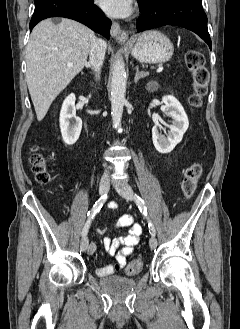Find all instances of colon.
Returning <instances> with one entry per match:
<instances>
[{"label":"colon","instance_id":"obj_1","mask_svg":"<svg viewBox=\"0 0 240 329\" xmlns=\"http://www.w3.org/2000/svg\"><path fill=\"white\" fill-rule=\"evenodd\" d=\"M186 67L192 74V92L189 96V103L192 107H199L207 92L209 82V72L205 66L203 54L196 49L189 50L185 57ZM50 157L43 153L39 147H34L30 157V165L38 183L45 184L50 180L48 170ZM203 167L200 163L189 166L181 182V190L185 198H190L197 187V183L202 175ZM142 262L135 259L126 267V273L133 275L141 270Z\"/></svg>","mask_w":240,"mask_h":329}]
</instances>
